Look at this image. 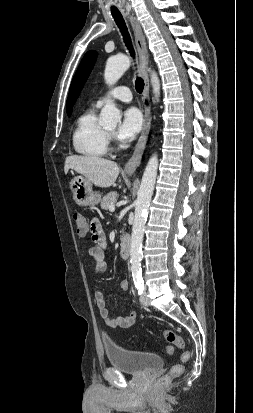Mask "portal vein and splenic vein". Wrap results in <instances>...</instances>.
<instances>
[{"mask_svg": "<svg viewBox=\"0 0 253 413\" xmlns=\"http://www.w3.org/2000/svg\"><path fill=\"white\" fill-rule=\"evenodd\" d=\"M109 210H110L111 212H114V211H115V206H114V205H111V206L109 207Z\"/></svg>", "mask_w": 253, "mask_h": 413, "instance_id": "obj_1", "label": "portal vein and splenic vein"}]
</instances>
